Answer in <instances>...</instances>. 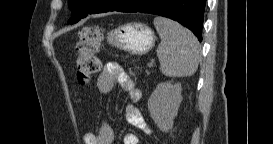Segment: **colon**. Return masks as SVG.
Here are the masks:
<instances>
[{
  "label": "colon",
  "mask_w": 273,
  "mask_h": 144,
  "mask_svg": "<svg viewBox=\"0 0 273 144\" xmlns=\"http://www.w3.org/2000/svg\"><path fill=\"white\" fill-rule=\"evenodd\" d=\"M77 45L76 76L81 84L89 83L100 68L97 49L100 40V30L97 27H86L80 32Z\"/></svg>",
  "instance_id": "5ec220e1"
}]
</instances>
